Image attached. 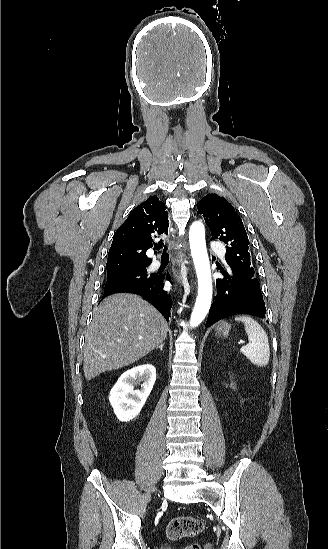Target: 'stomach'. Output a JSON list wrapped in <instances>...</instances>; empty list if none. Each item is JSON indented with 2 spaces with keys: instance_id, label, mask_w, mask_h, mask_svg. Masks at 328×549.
<instances>
[{
  "instance_id": "0dacf381",
  "label": "stomach",
  "mask_w": 328,
  "mask_h": 549,
  "mask_svg": "<svg viewBox=\"0 0 328 549\" xmlns=\"http://www.w3.org/2000/svg\"><path fill=\"white\" fill-rule=\"evenodd\" d=\"M231 327L228 325V323H225V321H221V323H218L215 331L217 337H227L229 335Z\"/></svg>"
}]
</instances>
